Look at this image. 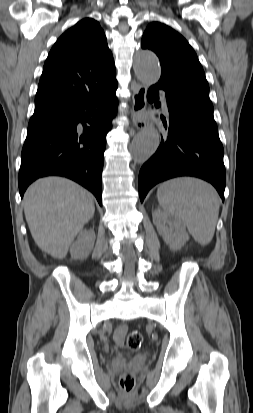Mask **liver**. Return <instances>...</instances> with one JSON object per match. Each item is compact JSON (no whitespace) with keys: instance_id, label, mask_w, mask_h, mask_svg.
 <instances>
[{"instance_id":"obj_1","label":"liver","mask_w":253,"mask_h":413,"mask_svg":"<svg viewBox=\"0 0 253 413\" xmlns=\"http://www.w3.org/2000/svg\"><path fill=\"white\" fill-rule=\"evenodd\" d=\"M94 211L92 194L66 178L39 179L24 196V214L35 243L57 259L67 255Z\"/></svg>"}]
</instances>
